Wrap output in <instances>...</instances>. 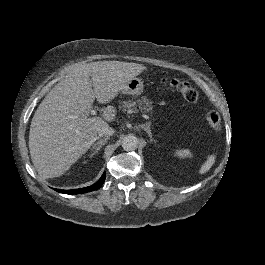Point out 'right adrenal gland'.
I'll return each mask as SVG.
<instances>
[{
  "label": "right adrenal gland",
  "instance_id": "obj_1",
  "mask_svg": "<svg viewBox=\"0 0 265 265\" xmlns=\"http://www.w3.org/2000/svg\"><path fill=\"white\" fill-rule=\"evenodd\" d=\"M110 139L109 136H106V137H102L101 140L95 142L92 144V149L94 147H96L97 145H99L96 150L92 153L91 156L95 155L96 153H98L100 151V149L107 143V141Z\"/></svg>",
  "mask_w": 265,
  "mask_h": 265
}]
</instances>
